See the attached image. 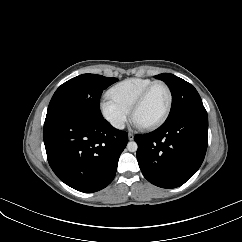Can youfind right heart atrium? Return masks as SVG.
I'll use <instances>...</instances> for the list:
<instances>
[{
  "label": "right heart atrium",
  "instance_id": "1",
  "mask_svg": "<svg viewBox=\"0 0 242 242\" xmlns=\"http://www.w3.org/2000/svg\"><path fill=\"white\" fill-rule=\"evenodd\" d=\"M100 111L104 119L118 130L123 129L130 119V112L109 97H105L100 102Z\"/></svg>",
  "mask_w": 242,
  "mask_h": 242
}]
</instances>
